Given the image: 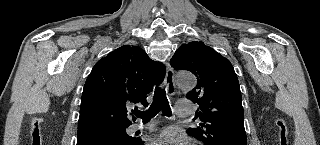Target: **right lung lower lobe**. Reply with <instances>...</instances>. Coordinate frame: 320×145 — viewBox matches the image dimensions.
<instances>
[{
	"instance_id": "obj_1",
	"label": "right lung lower lobe",
	"mask_w": 320,
	"mask_h": 145,
	"mask_svg": "<svg viewBox=\"0 0 320 145\" xmlns=\"http://www.w3.org/2000/svg\"><path fill=\"white\" fill-rule=\"evenodd\" d=\"M143 143L139 138L131 137L125 140L102 130L78 133L77 136V145H142Z\"/></svg>"
}]
</instances>
